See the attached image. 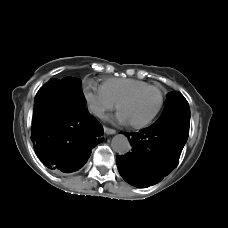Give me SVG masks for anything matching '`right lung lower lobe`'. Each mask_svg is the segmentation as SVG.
Masks as SVG:
<instances>
[{"mask_svg": "<svg viewBox=\"0 0 228 228\" xmlns=\"http://www.w3.org/2000/svg\"><path fill=\"white\" fill-rule=\"evenodd\" d=\"M31 130L38 158L48 168L63 172L81 168L103 134V127L87 112L83 95L68 101L50 82L35 96Z\"/></svg>", "mask_w": 228, "mask_h": 228, "instance_id": "obj_1", "label": "right lung lower lobe"}]
</instances>
